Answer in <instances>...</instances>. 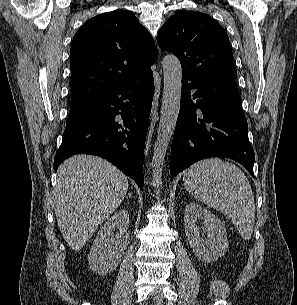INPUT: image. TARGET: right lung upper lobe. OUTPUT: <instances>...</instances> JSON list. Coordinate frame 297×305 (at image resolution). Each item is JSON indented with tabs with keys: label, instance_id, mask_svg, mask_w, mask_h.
<instances>
[{
	"label": "right lung upper lobe",
	"instance_id": "1",
	"mask_svg": "<svg viewBox=\"0 0 297 305\" xmlns=\"http://www.w3.org/2000/svg\"><path fill=\"white\" fill-rule=\"evenodd\" d=\"M157 56L152 36L130 11L115 10L86 21L70 50L71 103L87 102L147 74Z\"/></svg>",
	"mask_w": 297,
	"mask_h": 305
}]
</instances>
